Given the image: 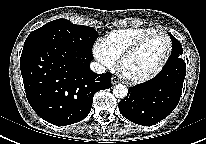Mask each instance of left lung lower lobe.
Listing matches in <instances>:
<instances>
[{
  "instance_id": "obj_1",
  "label": "left lung lower lobe",
  "mask_w": 206,
  "mask_h": 144,
  "mask_svg": "<svg viewBox=\"0 0 206 144\" xmlns=\"http://www.w3.org/2000/svg\"><path fill=\"white\" fill-rule=\"evenodd\" d=\"M185 75L183 59L170 56L156 77L128 90V95L118 105L121 114L143 126L160 122L177 106Z\"/></svg>"
}]
</instances>
